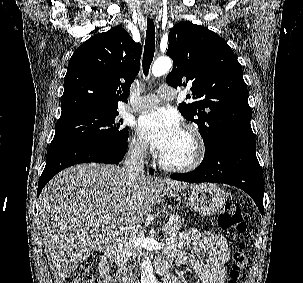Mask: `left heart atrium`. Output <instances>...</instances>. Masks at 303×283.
Returning <instances> with one entry per match:
<instances>
[{
	"label": "left heart atrium",
	"mask_w": 303,
	"mask_h": 283,
	"mask_svg": "<svg viewBox=\"0 0 303 283\" xmlns=\"http://www.w3.org/2000/svg\"><path fill=\"white\" fill-rule=\"evenodd\" d=\"M137 131L153 148L163 153L178 139L182 130L176 113L154 108L140 116Z\"/></svg>",
	"instance_id": "left-heart-atrium-1"
}]
</instances>
